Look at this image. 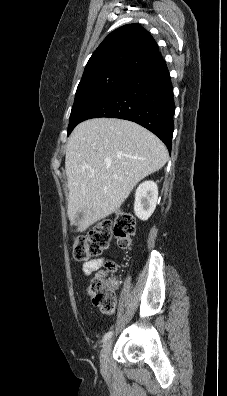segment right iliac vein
<instances>
[{"label":"right iliac vein","instance_id":"right-iliac-vein-1","mask_svg":"<svg viewBox=\"0 0 227 396\" xmlns=\"http://www.w3.org/2000/svg\"><path fill=\"white\" fill-rule=\"evenodd\" d=\"M112 343H113V340L112 339H108L106 341L103 349H102L100 362H101V367L103 369H106L108 367L110 352H111V348H112Z\"/></svg>","mask_w":227,"mask_h":396}]
</instances>
